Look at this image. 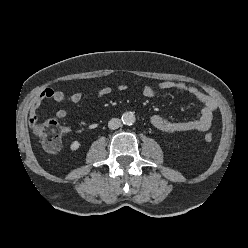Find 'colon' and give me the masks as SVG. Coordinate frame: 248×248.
<instances>
[{
    "label": "colon",
    "instance_id": "colon-1",
    "mask_svg": "<svg viewBox=\"0 0 248 248\" xmlns=\"http://www.w3.org/2000/svg\"><path fill=\"white\" fill-rule=\"evenodd\" d=\"M34 133L40 138L43 148L49 153H57L62 146V128L55 120H48L36 124L33 128ZM206 142L213 140L211 133L204 136Z\"/></svg>",
    "mask_w": 248,
    "mask_h": 248
}]
</instances>
